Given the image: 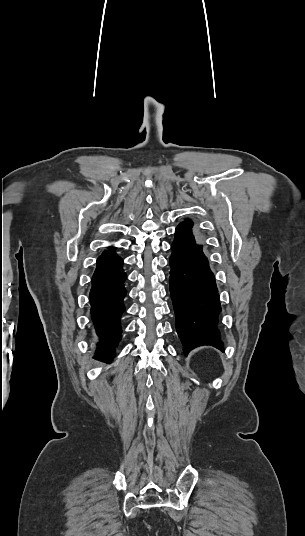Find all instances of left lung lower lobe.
<instances>
[{
    "label": "left lung lower lobe",
    "mask_w": 305,
    "mask_h": 536,
    "mask_svg": "<svg viewBox=\"0 0 305 536\" xmlns=\"http://www.w3.org/2000/svg\"><path fill=\"white\" fill-rule=\"evenodd\" d=\"M171 248L170 294L185 355L203 345L224 351L217 328L219 294L202 246L191 229L177 227Z\"/></svg>",
    "instance_id": "1"
}]
</instances>
